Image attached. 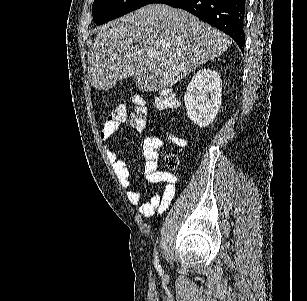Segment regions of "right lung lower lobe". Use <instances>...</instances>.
<instances>
[{
	"instance_id": "right-lung-lower-lobe-1",
	"label": "right lung lower lobe",
	"mask_w": 307,
	"mask_h": 301,
	"mask_svg": "<svg viewBox=\"0 0 307 301\" xmlns=\"http://www.w3.org/2000/svg\"><path fill=\"white\" fill-rule=\"evenodd\" d=\"M246 0H150L184 9L223 31L244 51Z\"/></svg>"
}]
</instances>
